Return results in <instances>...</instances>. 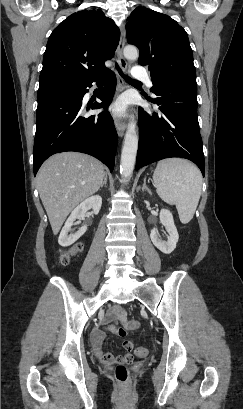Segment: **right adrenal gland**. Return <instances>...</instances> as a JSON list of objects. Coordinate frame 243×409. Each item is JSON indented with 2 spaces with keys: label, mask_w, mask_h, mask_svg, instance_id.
Here are the masks:
<instances>
[{
  "label": "right adrenal gland",
  "mask_w": 243,
  "mask_h": 409,
  "mask_svg": "<svg viewBox=\"0 0 243 409\" xmlns=\"http://www.w3.org/2000/svg\"><path fill=\"white\" fill-rule=\"evenodd\" d=\"M104 185H105V186L107 185V174H105V176H104V181H103V183L101 184L100 188H103Z\"/></svg>",
  "instance_id": "right-adrenal-gland-1"
}]
</instances>
